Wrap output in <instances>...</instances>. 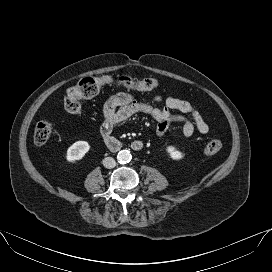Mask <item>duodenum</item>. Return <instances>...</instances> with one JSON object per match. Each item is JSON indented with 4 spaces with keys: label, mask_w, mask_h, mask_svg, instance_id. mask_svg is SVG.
I'll use <instances>...</instances> for the list:
<instances>
[{
    "label": "duodenum",
    "mask_w": 272,
    "mask_h": 272,
    "mask_svg": "<svg viewBox=\"0 0 272 272\" xmlns=\"http://www.w3.org/2000/svg\"><path fill=\"white\" fill-rule=\"evenodd\" d=\"M103 139L105 141L106 146L114 152H118L122 148V143L112 137L111 135H105L103 136ZM130 147L133 151L139 152L144 149V142L142 140H134L131 142Z\"/></svg>",
    "instance_id": "obj_1"
}]
</instances>
